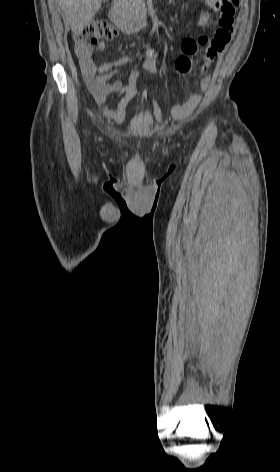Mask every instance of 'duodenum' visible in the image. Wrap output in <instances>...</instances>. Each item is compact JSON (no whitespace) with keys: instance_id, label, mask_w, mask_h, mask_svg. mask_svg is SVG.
Listing matches in <instances>:
<instances>
[{"instance_id":"1","label":"duodenum","mask_w":280,"mask_h":472,"mask_svg":"<svg viewBox=\"0 0 280 472\" xmlns=\"http://www.w3.org/2000/svg\"><path fill=\"white\" fill-rule=\"evenodd\" d=\"M110 19L124 32L133 33L148 23L145 9L138 5L116 6L109 12Z\"/></svg>"}]
</instances>
